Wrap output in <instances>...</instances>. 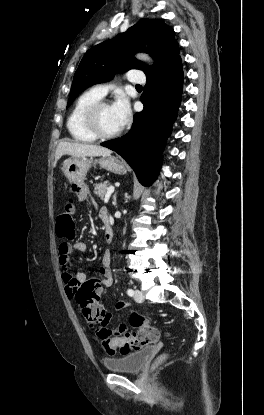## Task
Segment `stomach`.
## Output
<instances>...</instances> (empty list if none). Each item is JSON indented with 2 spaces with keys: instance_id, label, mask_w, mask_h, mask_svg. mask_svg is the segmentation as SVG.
Instances as JSON below:
<instances>
[{
  "instance_id": "1",
  "label": "stomach",
  "mask_w": 264,
  "mask_h": 415,
  "mask_svg": "<svg viewBox=\"0 0 264 415\" xmlns=\"http://www.w3.org/2000/svg\"><path fill=\"white\" fill-rule=\"evenodd\" d=\"M92 164H99L101 168L115 174L126 173L125 163L111 155L102 156L99 159L72 156L64 161L62 169L69 182L82 184Z\"/></svg>"
}]
</instances>
